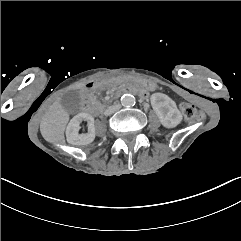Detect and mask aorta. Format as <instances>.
<instances>
[{"instance_id":"aorta-1","label":"aorta","mask_w":241,"mask_h":241,"mask_svg":"<svg viewBox=\"0 0 241 241\" xmlns=\"http://www.w3.org/2000/svg\"><path fill=\"white\" fill-rule=\"evenodd\" d=\"M121 104L126 107L132 106L135 104V97L131 94H124L121 97Z\"/></svg>"}]
</instances>
